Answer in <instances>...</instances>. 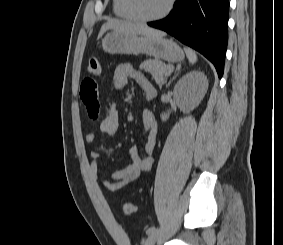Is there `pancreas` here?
<instances>
[{
    "label": "pancreas",
    "instance_id": "1",
    "mask_svg": "<svg viewBox=\"0 0 283 245\" xmlns=\"http://www.w3.org/2000/svg\"><path fill=\"white\" fill-rule=\"evenodd\" d=\"M139 68L151 73L156 83L162 86L165 83L171 66L165 65L158 59H148L141 63Z\"/></svg>",
    "mask_w": 283,
    "mask_h": 245
}]
</instances>
